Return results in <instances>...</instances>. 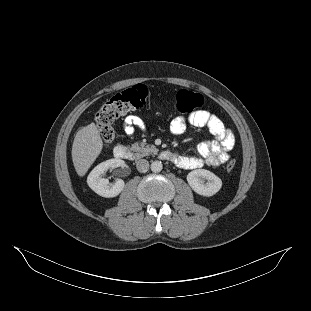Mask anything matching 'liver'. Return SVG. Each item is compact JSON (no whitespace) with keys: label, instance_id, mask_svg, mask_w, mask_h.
Returning a JSON list of instances; mask_svg holds the SVG:
<instances>
[{"label":"liver","instance_id":"obj_1","mask_svg":"<svg viewBox=\"0 0 311 311\" xmlns=\"http://www.w3.org/2000/svg\"><path fill=\"white\" fill-rule=\"evenodd\" d=\"M102 148L96 125L91 122L81 127L73 142L72 158L79 175H84Z\"/></svg>","mask_w":311,"mask_h":311}]
</instances>
